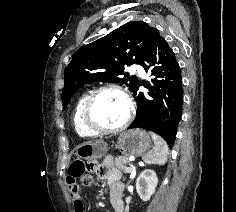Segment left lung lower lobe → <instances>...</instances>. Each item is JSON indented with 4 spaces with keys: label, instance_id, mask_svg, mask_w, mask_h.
Here are the masks:
<instances>
[{
    "label": "left lung lower lobe",
    "instance_id": "obj_1",
    "mask_svg": "<svg viewBox=\"0 0 236 212\" xmlns=\"http://www.w3.org/2000/svg\"><path fill=\"white\" fill-rule=\"evenodd\" d=\"M150 71L152 85L144 84L149 93L133 91L137 102L136 118L130 128H145L163 137L171 147L182 115L183 90L180 66L175 54L153 28L142 63Z\"/></svg>",
    "mask_w": 236,
    "mask_h": 212
}]
</instances>
